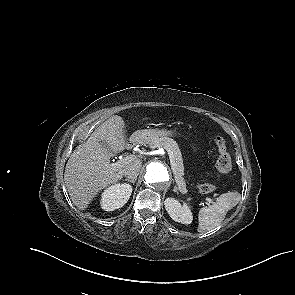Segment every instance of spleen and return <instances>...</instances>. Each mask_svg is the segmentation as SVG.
<instances>
[{"mask_svg":"<svg viewBox=\"0 0 295 295\" xmlns=\"http://www.w3.org/2000/svg\"><path fill=\"white\" fill-rule=\"evenodd\" d=\"M239 201L240 194L238 192H228L221 194L212 205L202 207L198 214V232L212 230L221 224L227 212Z\"/></svg>","mask_w":295,"mask_h":295,"instance_id":"spleen-1","label":"spleen"}]
</instances>
